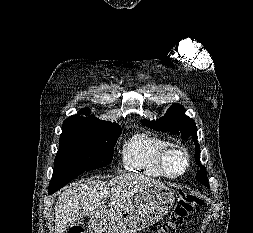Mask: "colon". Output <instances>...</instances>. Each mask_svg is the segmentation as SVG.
<instances>
[{
    "instance_id": "5ec220e1",
    "label": "colon",
    "mask_w": 253,
    "mask_h": 233,
    "mask_svg": "<svg viewBox=\"0 0 253 233\" xmlns=\"http://www.w3.org/2000/svg\"><path fill=\"white\" fill-rule=\"evenodd\" d=\"M204 200L202 197L180 192L178 194V202L169 219L162 225L157 233H177L178 228L183 223L184 218L192 211L202 207ZM68 233H84L81 225H72Z\"/></svg>"
}]
</instances>
